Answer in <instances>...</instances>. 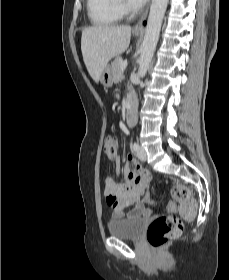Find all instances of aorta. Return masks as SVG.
Masks as SVG:
<instances>
[{"label": "aorta", "mask_w": 229, "mask_h": 280, "mask_svg": "<svg viewBox=\"0 0 229 280\" xmlns=\"http://www.w3.org/2000/svg\"><path fill=\"white\" fill-rule=\"evenodd\" d=\"M167 4L168 0H152L139 57L138 73L141 77L146 75L153 58Z\"/></svg>", "instance_id": "aorta-1"}]
</instances>
